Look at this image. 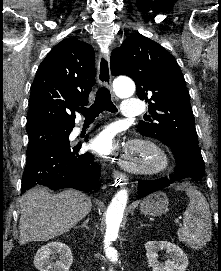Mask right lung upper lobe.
<instances>
[{"label": "right lung upper lobe", "mask_w": 221, "mask_h": 271, "mask_svg": "<svg viewBox=\"0 0 221 271\" xmlns=\"http://www.w3.org/2000/svg\"><path fill=\"white\" fill-rule=\"evenodd\" d=\"M94 49L76 38L58 43L40 64L32 83L27 131L74 126L77 106L88 103L95 84Z\"/></svg>", "instance_id": "1"}]
</instances>
